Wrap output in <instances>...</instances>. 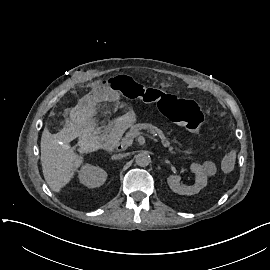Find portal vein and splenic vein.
<instances>
[{"instance_id": "18ae733b", "label": "portal vein and splenic vein", "mask_w": 270, "mask_h": 270, "mask_svg": "<svg viewBox=\"0 0 270 270\" xmlns=\"http://www.w3.org/2000/svg\"><path fill=\"white\" fill-rule=\"evenodd\" d=\"M144 135H147V134H144ZM148 136V135H147ZM149 137V136H148ZM151 138H154V137H151ZM155 139V138H154ZM156 140V139H155Z\"/></svg>"}]
</instances>
